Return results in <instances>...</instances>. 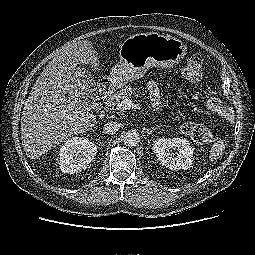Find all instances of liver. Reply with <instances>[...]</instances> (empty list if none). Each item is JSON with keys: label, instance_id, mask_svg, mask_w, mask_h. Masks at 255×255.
<instances>
[{"label": "liver", "instance_id": "obj_1", "mask_svg": "<svg viewBox=\"0 0 255 255\" xmlns=\"http://www.w3.org/2000/svg\"><path fill=\"white\" fill-rule=\"evenodd\" d=\"M89 40L68 43L46 66L25 102L21 139L26 155L37 159L52 147L95 126L88 98L73 84L77 65L98 69Z\"/></svg>", "mask_w": 255, "mask_h": 255}]
</instances>
